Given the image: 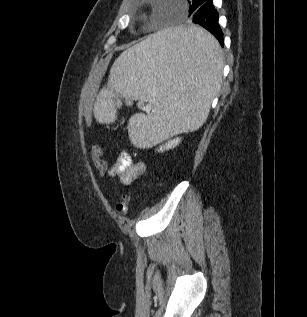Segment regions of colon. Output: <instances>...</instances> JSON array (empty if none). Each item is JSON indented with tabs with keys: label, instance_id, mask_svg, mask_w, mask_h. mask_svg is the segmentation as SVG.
Here are the masks:
<instances>
[{
	"label": "colon",
	"instance_id": "5ec220e1",
	"mask_svg": "<svg viewBox=\"0 0 307 317\" xmlns=\"http://www.w3.org/2000/svg\"><path fill=\"white\" fill-rule=\"evenodd\" d=\"M93 163L100 175H104L107 171V164L103 159V149L99 146H94L91 151ZM131 200V194H123L120 201L116 205V211L120 215H125Z\"/></svg>",
	"mask_w": 307,
	"mask_h": 317
}]
</instances>
